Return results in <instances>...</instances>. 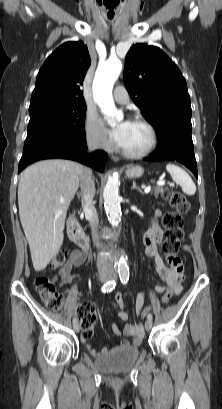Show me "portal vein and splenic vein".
<instances>
[{
	"label": "portal vein and splenic vein",
	"instance_id": "portal-vein-and-splenic-vein-1",
	"mask_svg": "<svg viewBox=\"0 0 222 409\" xmlns=\"http://www.w3.org/2000/svg\"><path fill=\"white\" fill-rule=\"evenodd\" d=\"M164 183H165L164 180H159V181L157 182V184L160 185V186L164 185ZM150 190H151V187L148 186V187H146V188L144 189V192H145V193H149ZM62 202H63V200H62Z\"/></svg>",
	"mask_w": 222,
	"mask_h": 409
}]
</instances>
